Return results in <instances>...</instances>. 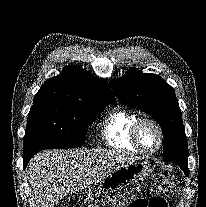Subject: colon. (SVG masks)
Wrapping results in <instances>:
<instances>
[{
    "label": "colon",
    "mask_w": 206,
    "mask_h": 207,
    "mask_svg": "<svg viewBox=\"0 0 206 207\" xmlns=\"http://www.w3.org/2000/svg\"><path fill=\"white\" fill-rule=\"evenodd\" d=\"M155 190L156 195L149 199H131L127 194H118L91 207H168L167 199L176 193L173 175L168 172L160 173L156 179Z\"/></svg>",
    "instance_id": "colon-1"
}]
</instances>
